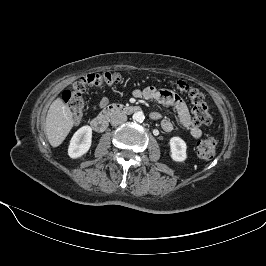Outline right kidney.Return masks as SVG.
Returning <instances> with one entry per match:
<instances>
[{"mask_svg": "<svg viewBox=\"0 0 266 266\" xmlns=\"http://www.w3.org/2000/svg\"><path fill=\"white\" fill-rule=\"evenodd\" d=\"M92 143V128L83 126L78 129L71 138L68 148V155L75 159L88 152Z\"/></svg>", "mask_w": 266, "mask_h": 266, "instance_id": "right-kidney-1", "label": "right kidney"}]
</instances>
